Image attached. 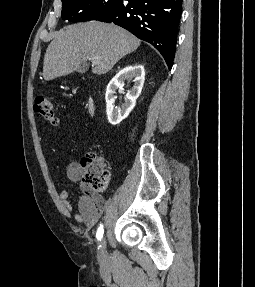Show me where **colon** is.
<instances>
[{"label": "colon", "instance_id": "5ec220e1", "mask_svg": "<svg viewBox=\"0 0 255 287\" xmlns=\"http://www.w3.org/2000/svg\"><path fill=\"white\" fill-rule=\"evenodd\" d=\"M34 110L50 124L57 125L59 123L55 107L49 98L37 97L34 102ZM82 166L84 167L83 181L85 184L94 192L105 191L109 184L110 172L103 157L93 152L88 153L82 159Z\"/></svg>", "mask_w": 255, "mask_h": 287}]
</instances>
